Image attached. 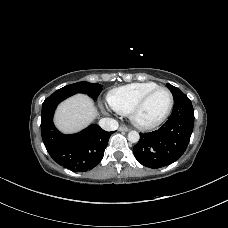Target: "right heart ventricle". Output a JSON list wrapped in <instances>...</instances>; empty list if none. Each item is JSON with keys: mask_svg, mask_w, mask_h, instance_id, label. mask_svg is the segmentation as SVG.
<instances>
[{"mask_svg": "<svg viewBox=\"0 0 228 228\" xmlns=\"http://www.w3.org/2000/svg\"><path fill=\"white\" fill-rule=\"evenodd\" d=\"M155 82L131 83L113 89L107 99L111 108L120 114L130 113L133 106L150 90L158 87Z\"/></svg>", "mask_w": 228, "mask_h": 228, "instance_id": "e07e8e85", "label": "right heart ventricle"}]
</instances>
